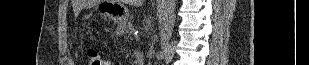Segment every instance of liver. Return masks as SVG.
<instances>
[{"instance_id":"obj_1","label":"liver","mask_w":309,"mask_h":65,"mask_svg":"<svg viewBox=\"0 0 309 65\" xmlns=\"http://www.w3.org/2000/svg\"><path fill=\"white\" fill-rule=\"evenodd\" d=\"M123 3H127L130 5L140 6L142 4V0H122Z\"/></svg>"}]
</instances>
